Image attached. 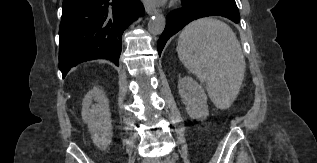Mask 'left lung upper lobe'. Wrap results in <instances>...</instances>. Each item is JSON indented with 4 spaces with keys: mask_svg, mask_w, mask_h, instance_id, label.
Segmentation results:
<instances>
[{
    "mask_svg": "<svg viewBox=\"0 0 317 163\" xmlns=\"http://www.w3.org/2000/svg\"><path fill=\"white\" fill-rule=\"evenodd\" d=\"M220 1H223V2H226V3H229V4L237 6L235 0H220Z\"/></svg>",
    "mask_w": 317,
    "mask_h": 163,
    "instance_id": "left-lung-upper-lobe-1",
    "label": "left lung upper lobe"
}]
</instances>
